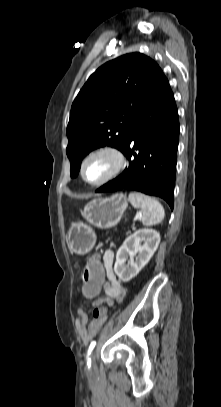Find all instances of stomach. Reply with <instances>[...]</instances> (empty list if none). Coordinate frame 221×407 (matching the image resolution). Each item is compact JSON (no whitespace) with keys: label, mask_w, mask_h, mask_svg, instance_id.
<instances>
[{"label":"stomach","mask_w":221,"mask_h":407,"mask_svg":"<svg viewBox=\"0 0 221 407\" xmlns=\"http://www.w3.org/2000/svg\"><path fill=\"white\" fill-rule=\"evenodd\" d=\"M127 207L126 196L119 193L108 198L93 199L85 205L81 215L90 225L109 229L120 222ZM68 241L71 252L86 254L94 246L96 235L89 225L75 222L68 232Z\"/></svg>","instance_id":"0dacf381"}]
</instances>
